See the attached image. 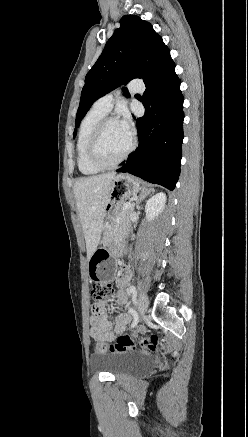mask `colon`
Wrapping results in <instances>:
<instances>
[{"mask_svg": "<svg viewBox=\"0 0 248 437\" xmlns=\"http://www.w3.org/2000/svg\"><path fill=\"white\" fill-rule=\"evenodd\" d=\"M112 291L111 286H92L91 298L95 302H100L107 298ZM137 348H141L150 352H156L159 350V339L156 336L144 337L139 339H133L128 335H121L118 337L115 343L109 344L106 342H97L95 350L98 353H121L132 351Z\"/></svg>", "mask_w": 248, "mask_h": 437, "instance_id": "1", "label": "colon"}]
</instances>
